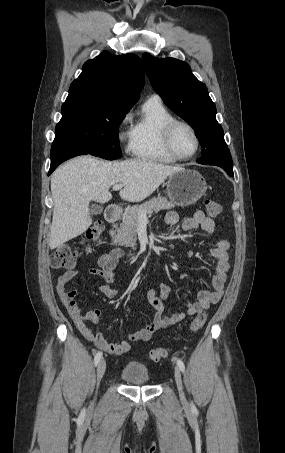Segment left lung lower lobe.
Wrapping results in <instances>:
<instances>
[{
    "label": "left lung lower lobe",
    "mask_w": 285,
    "mask_h": 453,
    "mask_svg": "<svg viewBox=\"0 0 285 453\" xmlns=\"http://www.w3.org/2000/svg\"><path fill=\"white\" fill-rule=\"evenodd\" d=\"M230 176H233V169H224Z\"/></svg>",
    "instance_id": "left-lung-lower-lobe-1"
}]
</instances>
